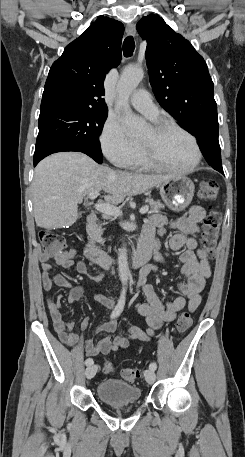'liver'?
I'll use <instances>...</instances> for the list:
<instances>
[{"instance_id":"6515ba94","label":"liver","mask_w":245,"mask_h":457,"mask_svg":"<svg viewBox=\"0 0 245 457\" xmlns=\"http://www.w3.org/2000/svg\"><path fill=\"white\" fill-rule=\"evenodd\" d=\"M171 174L122 172L97 164L82 152H56L34 170L32 194L37 226L63 229L78 218V202L93 190H105L107 202L118 204L128 194H141Z\"/></svg>"}]
</instances>
